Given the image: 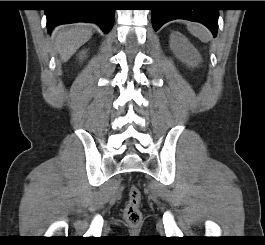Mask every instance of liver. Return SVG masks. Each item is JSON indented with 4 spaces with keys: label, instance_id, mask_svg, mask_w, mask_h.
<instances>
[{
    "label": "liver",
    "instance_id": "obj_1",
    "mask_svg": "<svg viewBox=\"0 0 265 245\" xmlns=\"http://www.w3.org/2000/svg\"><path fill=\"white\" fill-rule=\"evenodd\" d=\"M92 30L86 24L59 26L52 32L54 49L62 61L69 60L75 52L92 37Z\"/></svg>",
    "mask_w": 265,
    "mask_h": 245
}]
</instances>
